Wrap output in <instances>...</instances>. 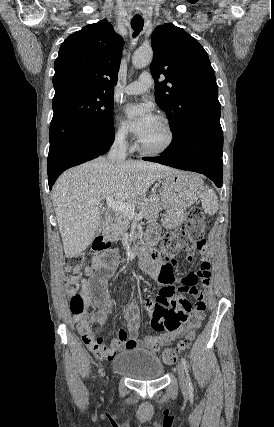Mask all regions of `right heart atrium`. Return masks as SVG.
<instances>
[{
    "mask_svg": "<svg viewBox=\"0 0 274 427\" xmlns=\"http://www.w3.org/2000/svg\"><path fill=\"white\" fill-rule=\"evenodd\" d=\"M114 141L121 147L127 148L129 146V135L127 129L119 124L114 132Z\"/></svg>",
    "mask_w": 274,
    "mask_h": 427,
    "instance_id": "obj_1",
    "label": "right heart atrium"
}]
</instances>
